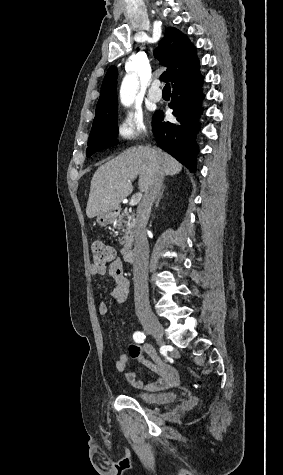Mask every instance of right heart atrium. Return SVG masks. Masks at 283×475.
<instances>
[{"instance_id":"d8ad5b80","label":"right heart atrium","mask_w":283,"mask_h":475,"mask_svg":"<svg viewBox=\"0 0 283 475\" xmlns=\"http://www.w3.org/2000/svg\"><path fill=\"white\" fill-rule=\"evenodd\" d=\"M114 132L123 141L132 143L137 138L148 133L149 128L141 114L129 112L116 123ZM131 150L134 151L136 148Z\"/></svg>"}]
</instances>
